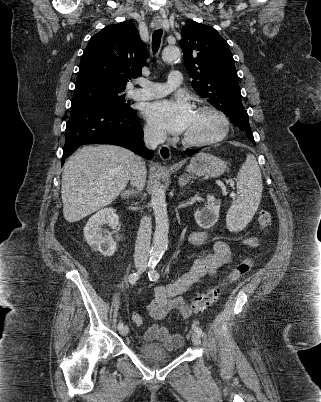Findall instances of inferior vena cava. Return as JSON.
Returning a JSON list of instances; mask_svg holds the SVG:
<instances>
[{"mask_svg":"<svg viewBox=\"0 0 321 402\" xmlns=\"http://www.w3.org/2000/svg\"><path fill=\"white\" fill-rule=\"evenodd\" d=\"M166 139V133L154 129L144 130V143L145 145L155 150L157 146ZM131 184L141 191L146 182V167L144 162L140 159L139 163L135 166L130 177ZM152 233L151 217L143 216L140 222L137 239L135 244L134 261L138 267L146 268Z\"/></svg>","mask_w":321,"mask_h":402,"instance_id":"inferior-vena-cava-1","label":"inferior vena cava"}]
</instances>
